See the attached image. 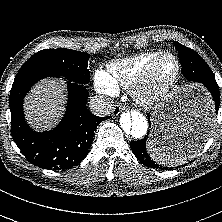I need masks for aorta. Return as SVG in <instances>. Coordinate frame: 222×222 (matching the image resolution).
<instances>
[{"label": "aorta", "mask_w": 222, "mask_h": 222, "mask_svg": "<svg viewBox=\"0 0 222 222\" xmlns=\"http://www.w3.org/2000/svg\"><path fill=\"white\" fill-rule=\"evenodd\" d=\"M120 125L124 135L133 139H141L148 130L146 117L138 110H130L121 115Z\"/></svg>", "instance_id": "1"}]
</instances>
